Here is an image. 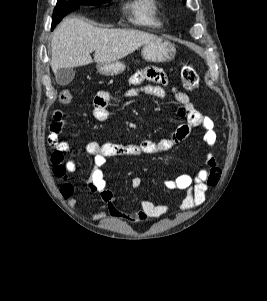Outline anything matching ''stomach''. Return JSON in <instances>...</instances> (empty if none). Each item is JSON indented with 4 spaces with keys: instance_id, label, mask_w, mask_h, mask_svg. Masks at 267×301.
Wrapping results in <instances>:
<instances>
[{
    "instance_id": "1",
    "label": "stomach",
    "mask_w": 267,
    "mask_h": 301,
    "mask_svg": "<svg viewBox=\"0 0 267 301\" xmlns=\"http://www.w3.org/2000/svg\"><path fill=\"white\" fill-rule=\"evenodd\" d=\"M175 53V45L162 38L144 44L141 51L143 59L148 62H168L174 58ZM125 68V64L120 61L97 65V71L104 76L118 75L122 73Z\"/></svg>"
}]
</instances>
